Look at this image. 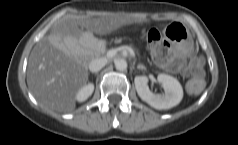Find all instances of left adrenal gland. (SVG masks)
<instances>
[{
	"mask_svg": "<svg viewBox=\"0 0 238 145\" xmlns=\"http://www.w3.org/2000/svg\"><path fill=\"white\" fill-rule=\"evenodd\" d=\"M137 69H144L145 70L146 68L144 66H142V65H138Z\"/></svg>",
	"mask_w": 238,
	"mask_h": 145,
	"instance_id": "a2214340",
	"label": "left adrenal gland"
}]
</instances>
